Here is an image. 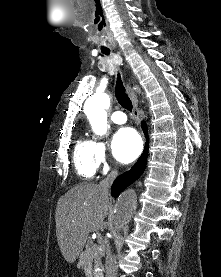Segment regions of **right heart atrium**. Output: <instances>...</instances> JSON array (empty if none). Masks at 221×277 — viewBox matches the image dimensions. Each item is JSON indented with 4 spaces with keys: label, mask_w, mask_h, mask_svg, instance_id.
<instances>
[{
    "label": "right heart atrium",
    "mask_w": 221,
    "mask_h": 277,
    "mask_svg": "<svg viewBox=\"0 0 221 277\" xmlns=\"http://www.w3.org/2000/svg\"><path fill=\"white\" fill-rule=\"evenodd\" d=\"M95 158L98 166L102 167L103 169L107 168V146L104 141H95Z\"/></svg>",
    "instance_id": "1"
}]
</instances>
